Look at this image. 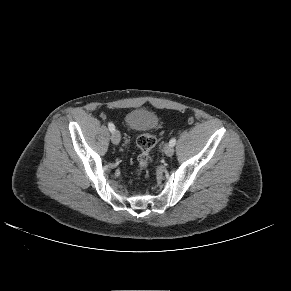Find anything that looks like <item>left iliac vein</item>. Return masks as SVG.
Instances as JSON below:
<instances>
[{
	"label": "left iliac vein",
	"instance_id": "obj_1",
	"mask_svg": "<svg viewBox=\"0 0 291 291\" xmlns=\"http://www.w3.org/2000/svg\"><path fill=\"white\" fill-rule=\"evenodd\" d=\"M164 152L167 156H172L174 154V148L173 146H171L170 144L169 145H166L165 148H164Z\"/></svg>",
	"mask_w": 291,
	"mask_h": 291
}]
</instances>
